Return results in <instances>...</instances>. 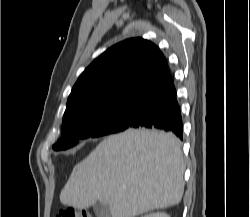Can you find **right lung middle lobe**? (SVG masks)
<instances>
[{
  "label": "right lung middle lobe",
  "instance_id": "obj_1",
  "mask_svg": "<svg viewBox=\"0 0 250 217\" xmlns=\"http://www.w3.org/2000/svg\"><path fill=\"white\" fill-rule=\"evenodd\" d=\"M138 101L123 102L87 111L63 121L61 135L54 150H65L80 139L96 138L127 129L133 119Z\"/></svg>",
  "mask_w": 250,
  "mask_h": 217
}]
</instances>
